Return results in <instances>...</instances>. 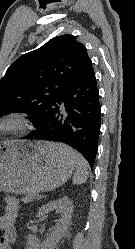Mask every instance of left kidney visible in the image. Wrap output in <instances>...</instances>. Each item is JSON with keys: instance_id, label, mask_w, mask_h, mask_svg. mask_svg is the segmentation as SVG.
<instances>
[{"instance_id": "left-kidney-1", "label": "left kidney", "mask_w": 135, "mask_h": 249, "mask_svg": "<svg viewBox=\"0 0 135 249\" xmlns=\"http://www.w3.org/2000/svg\"><path fill=\"white\" fill-rule=\"evenodd\" d=\"M61 215L50 236L43 242L36 240L32 234L27 236L26 249H55L60 239L67 233L72 217L73 205L68 197L51 201L39 209L38 217L45 218L52 211Z\"/></svg>"}]
</instances>
